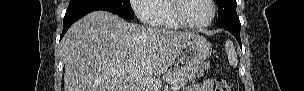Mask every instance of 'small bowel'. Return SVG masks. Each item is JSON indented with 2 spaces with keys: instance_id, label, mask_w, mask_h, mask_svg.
<instances>
[{
  "instance_id": "obj_1",
  "label": "small bowel",
  "mask_w": 304,
  "mask_h": 91,
  "mask_svg": "<svg viewBox=\"0 0 304 91\" xmlns=\"http://www.w3.org/2000/svg\"><path fill=\"white\" fill-rule=\"evenodd\" d=\"M186 90L187 91H211L212 82L210 80H205L199 84L188 87Z\"/></svg>"
}]
</instances>
